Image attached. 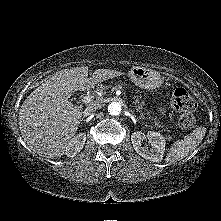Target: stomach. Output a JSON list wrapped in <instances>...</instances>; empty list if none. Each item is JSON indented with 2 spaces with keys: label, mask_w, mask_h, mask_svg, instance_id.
<instances>
[{
  "label": "stomach",
  "mask_w": 221,
  "mask_h": 221,
  "mask_svg": "<svg viewBox=\"0 0 221 221\" xmlns=\"http://www.w3.org/2000/svg\"><path fill=\"white\" fill-rule=\"evenodd\" d=\"M130 80L138 87L155 91L163 83L161 75L150 69L134 66L128 73Z\"/></svg>",
  "instance_id": "obj_1"
}]
</instances>
